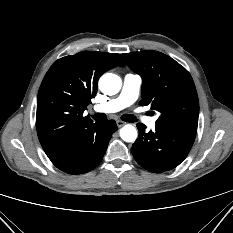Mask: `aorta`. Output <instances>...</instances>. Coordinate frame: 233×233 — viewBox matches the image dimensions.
<instances>
[{"instance_id": "obj_1", "label": "aorta", "mask_w": 233, "mask_h": 233, "mask_svg": "<svg viewBox=\"0 0 233 233\" xmlns=\"http://www.w3.org/2000/svg\"><path fill=\"white\" fill-rule=\"evenodd\" d=\"M121 79L119 76L106 73L99 80L100 90L107 95H114L121 89ZM120 137L126 142H134L137 138V130L134 126L128 124L120 129Z\"/></svg>"}]
</instances>
